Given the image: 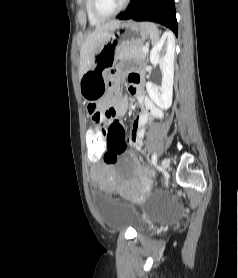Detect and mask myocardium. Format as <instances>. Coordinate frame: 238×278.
I'll list each match as a JSON object with an SVG mask.
<instances>
[{"label":"myocardium","instance_id":"myocardium-1","mask_svg":"<svg viewBox=\"0 0 238 278\" xmlns=\"http://www.w3.org/2000/svg\"><path fill=\"white\" fill-rule=\"evenodd\" d=\"M129 1L130 0H123L121 5L117 9L106 13V12H103L100 10V8L98 6V0H91V11H92V14L100 20L108 19V18H111V17L119 14L121 11H123L126 8V6L128 5Z\"/></svg>","mask_w":238,"mask_h":278}]
</instances>
